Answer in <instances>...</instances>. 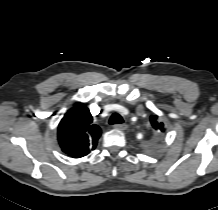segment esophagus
I'll list each match as a JSON object with an SVG mask.
<instances>
[{
    "mask_svg": "<svg viewBox=\"0 0 218 210\" xmlns=\"http://www.w3.org/2000/svg\"><path fill=\"white\" fill-rule=\"evenodd\" d=\"M115 127L120 131H125L128 128V126L126 124H118Z\"/></svg>",
    "mask_w": 218,
    "mask_h": 210,
    "instance_id": "esophagus-1",
    "label": "esophagus"
}]
</instances>
